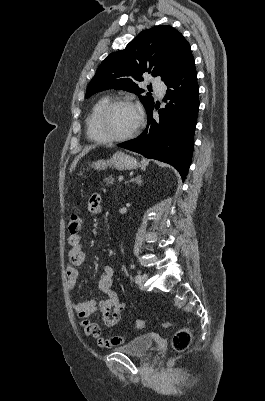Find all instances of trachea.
Wrapping results in <instances>:
<instances>
[{
    "instance_id": "3493384b",
    "label": "trachea",
    "mask_w": 265,
    "mask_h": 401,
    "mask_svg": "<svg viewBox=\"0 0 265 401\" xmlns=\"http://www.w3.org/2000/svg\"><path fill=\"white\" fill-rule=\"evenodd\" d=\"M152 92V90H149V93H151Z\"/></svg>"
}]
</instances>
